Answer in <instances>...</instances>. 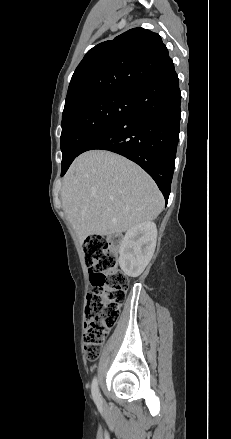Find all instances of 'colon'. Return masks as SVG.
<instances>
[{
  "label": "colon",
  "instance_id": "obj_1",
  "mask_svg": "<svg viewBox=\"0 0 231 439\" xmlns=\"http://www.w3.org/2000/svg\"><path fill=\"white\" fill-rule=\"evenodd\" d=\"M93 290L87 295L84 350L88 360L99 358L104 338L115 325L125 301L128 279L119 269L110 242L97 235L83 245Z\"/></svg>",
  "mask_w": 231,
  "mask_h": 439
}]
</instances>
